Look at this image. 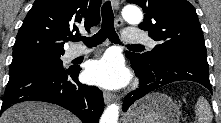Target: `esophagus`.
Returning a JSON list of instances; mask_svg holds the SVG:
<instances>
[{"label": "esophagus", "instance_id": "34e87169", "mask_svg": "<svg viewBox=\"0 0 221 123\" xmlns=\"http://www.w3.org/2000/svg\"><path fill=\"white\" fill-rule=\"evenodd\" d=\"M112 5H113L114 10L118 12L119 7H120V2L118 0H112ZM116 25L118 27H121L123 25V20L121 19L120 16H117L116 18ZM103 97H104V101L106 104H109L114 98L113 94L107 91H104Z\"/></svg>", "mask_w": 221, "mask_h": 123}]
</instances>
